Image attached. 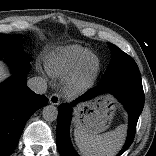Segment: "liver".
Returning a JSON list of instances; mask_svg holds the SVG:
<instances>
[{"label":"liver","mask_w":156,"mask_h":156,"mask_svg":"<svg viewBox=\"0 0 156 156\" xmlns=\"http://www.w3.org/2000/svg\"><path fill=\"white\" fill-rule=\"evenodd\" d=\"M6 77V72L4 70L3 64L0 63V82Z\"/></svg>","instance_id":"liver-1"}]
</instances>
